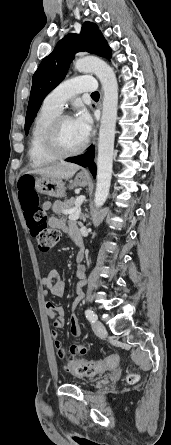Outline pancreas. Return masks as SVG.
I'll use <instances>...</instances> for the list:
<instances>
[{
    "label": "pancreas",
    "instance_id": "obj_1",
    "mask_svg": "<svg viewBox=\"0 0 171 445\" xmlns=\"http://www.w3.org/2000/svg\"><path fill=\"white\" fill-rule=\"evenodd\" d=\"M76 201L74 199L65 200L64 202L55 201L53 204V212L56 214H66L65 211L74 208Z\"/></svg>",
    "mask_w": 171,
    "mask_h": 445
}]
</instances>
